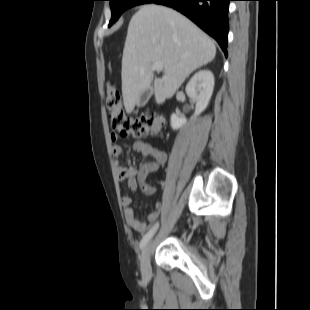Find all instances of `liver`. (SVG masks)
<instances>
[{"label": "liver", "mask_w": 310, "mask_h": 310, "mask_svg": "<svg viewBox=\"0 0 310 310\" xmlns=\"http://www.w3.org/2000/svg\"><path fill=\"white\" fill-rule=\"evenodd\" d=\"M215 55L213 40L180 13L155 4L141 7L130 20L123 50L126 112L132 113L141 93L150 87L156 103H164L193 71ZM157 62L163 63L164 74L154 79L152 65Z\"/></svg>", "instance_id": "6515ba94"}]
</instances>
